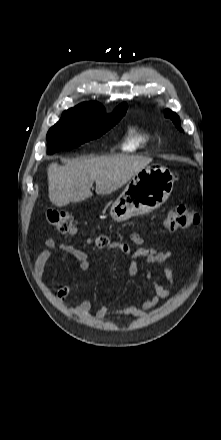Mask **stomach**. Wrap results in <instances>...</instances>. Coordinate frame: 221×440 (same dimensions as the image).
<instances>
[{"label":"stomach","instance_id":"1","mask_svg":"<svg viewBox=\"0 0 221 440\" xmlns=\"http://www.w3.org/2000/svg\"><path fill=\"white\" fill-rule=\"evenodd\" d=\"M173 184L174 175L165 167H145L128 182L112 204L111 217L121 222L157 209L170 196Z\"/></svg>","mask_w":221,"mask_h":440}]
</instances>
